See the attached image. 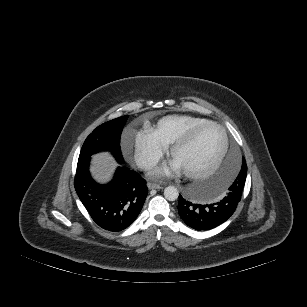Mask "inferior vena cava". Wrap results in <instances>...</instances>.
<instances>
[{
    "label": "inferior vena cava",
    "mask_w": 307,
    "mask_h": 307,
    "mask_svg": "<svg viewBox=\"0 0 307 307\" xmlns=\"http://www.w3.org/2000/svg\"><path fill=\"white\" fill-rule=\"evenodd\" d=\"M158 163V159L155 157L152 158H143L138 161V166L145 169H151Z\"/></svg>",
    "instance_id": "inferior-vena-cava-1"
}]
</instances>
